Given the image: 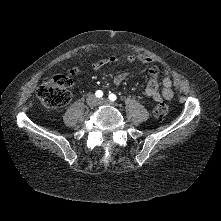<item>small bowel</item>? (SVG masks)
<instances>
[{
  "mask_svg": "<svg viewBox=\"0 0 221 221\" xmlns=\"http://www.w3.org/2000/svg\"><path fill=\"white\" fill-rule=\"evenodd\" d=\"M127 62H141L149 66L150 80L142 95L145 98L152 99L155 102H161L163 100H170L173 97V80L172 77L167 73L163 76L160 75V69L154 64L153 60L144 54H129L123 57ZM120 58L116 55L97 58L92 61V67L94 69H100L102 66L108 63H114L119 61ZM128 72H123L114 77V84H122L128 77ZM162 84V88H159V84Z\"/></svg>",
  "mask_w": 221,
  "mask_h": 221,
  "instance_id": "small-bowel-1",
  "label": "small bowel"
}]
</instances>
